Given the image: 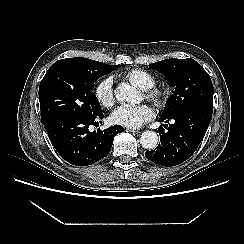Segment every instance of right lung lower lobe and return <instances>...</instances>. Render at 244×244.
Here are the masks:
<instances>
[{
	"label": "right lung lower lobe",
	"instance_id": "obj_1",
	"mask_svg": "<svg viewBox=\"0 0 244 244\" xmlns=\"http://www.w3.org/2000/svg\"><path fill=\"white\" fill-rule=\"evenodd\" d=\"M103 117L102 113L96 116L64 115L52 117L43 125L64 160L76 166H88L106 157L115 135L124 131L123 127L115 125L91 132L89 126Z\"/></svg>",
	"mask_w": 244,
	"mask_h": 244
}]
</instances>
